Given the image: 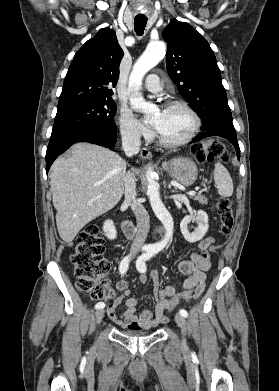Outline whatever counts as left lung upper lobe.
Wrapping results in <instances>:
<instances>
[{"label":"left lung upper lobe","instance_id":"obj_1","mask_svg":"<svg viewBox=\"0 0 279 391\" xmlns=\"http://www.w3.org/2000/svg\"><path fill=\"white\" fill-rule=\"evenodd\" d=\"M162 37L168 43L167 72L179 93L202 120V130L236 133L215 55L192 26L170 21Z\"/></svg>","mask_w":279,"mask_h":391}]
</instances>
